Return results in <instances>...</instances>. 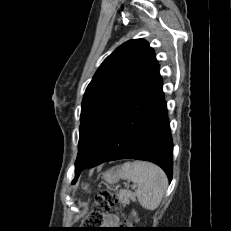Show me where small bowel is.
I'll return each mask as SVG.
<instances>
[{"label": "small bowel", "mask_w": 231, "mask_h": 231, "mask_svg": "<svg viewBox=\"0 0 231 231\" xmlns=\"http://www.w3.org/2000/svg\"><path fill=\"white\" fill-rule=\"evenodd\" d=\"M119 217L116 214H109L106 217V221L104 223L105 229H112L113 227H116L119 225Z\"/></svg>", "instance_id": "obj_1"}]
</instances>
